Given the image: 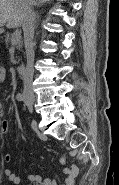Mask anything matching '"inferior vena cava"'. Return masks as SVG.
<instances>
[{"instance_id": "inferior-vena-cava-1", "label": "inferior vena cava", "mask_w": 119, "mask_h": 185, "mask_svg": "<svg viewBox=\"0 0 119 185\" xmlns=\"http://www.w3.org/2000/svg\"><path fill=\"white\" fill-rule=\"evenodd\" d=\"M25 11L22 28L24 32V43L27 57L26 73L24 75V88L23 97L34 99V92L32 87L33 81V64H34V49H33V38H34V19L35 14L31 9L29 0H23Z\"/></svg>"}]
</instances>
